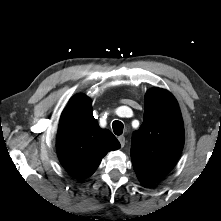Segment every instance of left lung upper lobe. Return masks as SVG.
<instances>
[{
  "label": "left lung upper lobe",
  "mask_w": 221,
  "mask_h": 221,
  "mask_svg": "<svg viewBox=\"0 0 221 221\" xmlns=\"http://www.w3.org/2000/svg\"><path fill=\"white\" fill-rule=\"evenodd\" d=\"M184 145V128L177 101L167 90L146 93L144 121L135 131L131 159L138 177L157 181L175 166Z\"/></svg>",
  "instance_id": "obj_1"
}]
</instances>
